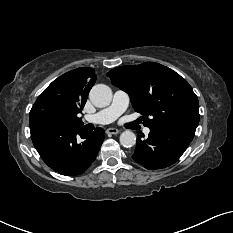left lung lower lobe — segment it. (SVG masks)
I'll return each mask as SVG.
<instances>
[{
    "label": "left lung lower lobe",
    "instance_id": "left-lung-lower-lobe-1",
    "mask_svg": "<svg viewBox=\"0 0 233 233\" xmlns=\"http://www.w3.org/2000/svg\"><path fill=\"white\" fill-rule=\"evenodd\" d=\"M194 132L177 128L150 129L146 140L137 136L132 158L147 169H161L175 163L191 143Z\"/></svg>",
    "mask_w": 233,
    "mask_h": 233
}]
</instances>
